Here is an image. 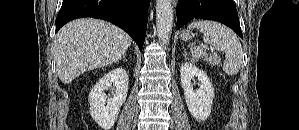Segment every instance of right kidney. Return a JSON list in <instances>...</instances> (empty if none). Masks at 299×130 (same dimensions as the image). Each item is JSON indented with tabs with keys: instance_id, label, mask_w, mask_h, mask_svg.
I'll list each match as a JSON object with an SVG mask.
<instances>
[{
	"instance_id": "obj_1",
	"label": "right kidney",
	"mask_w": 299,
	"mask_h": 130,
	"mask_svg": "<svg viewBox=\"0 0 299 130\" xmlns=\"http://www.w3.org/2000/svg\"><path fill=\"white\" fill-rule=\"evenodd\" d=\"M114 87L113 97H108L105 90ZM128 92V75L123 68H115L99 79L92 88L88 102L90 114L104 130H110L118 117ZM107 104V105H106Z\"/></svg>"
}]
</instances>
